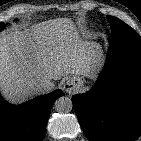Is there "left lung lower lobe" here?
Masks as SVG:
<instances>
[{"mask_svg":"<svg viewBox=\"0 0 141 141\" xmlns=\"http://www.w3.org/2000/svg\"><path fill=\"white\" fill-rule=\"evenodd\" d=\"M90 141H134L141 135V42H110L96 85L72 98Z\"/></svg>","mask_w":141,"mask_h":141,"instance_id":"left-lung-lower-lobe-1","label":"left lung lower lobe"}]
</instances>
